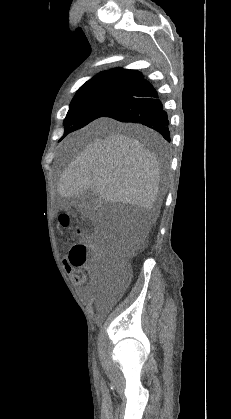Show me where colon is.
Wrapping results in <instances>:
<instances>
[{
  "mask_svg": "<svg viewBox=\"0 0 231 419\" xmlns=\"http://www.w3.org/2000/svg\"><path fill=\"white\" fill-rule=\"evenodd\" d=\"M60 220L62 224L69 222L66 215L62 216ZM76 233L81 235L83 229L77 227ZM68 263L73 266L89 263L90 267L96 271L99 282L110 288L119 286L130 272L125 254L114 252L94 242L75 244L69 252Z\"/></svg>",
  "mask_w": 231,
  "mask_h": 419,
  "instance_id": "colon-1",
  "label": "colon"
}]
</instances>
